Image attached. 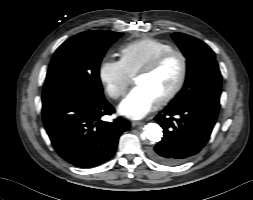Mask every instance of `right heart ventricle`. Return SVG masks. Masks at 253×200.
I'll use <instances>...</instances> for the list:
<instances>
[{
    "label": "right heart ventricle",
    "instance_id": "e07e8e85",
    "mask_svg": "<svg viewBox=\"0 0 253 200\" xmlns=\"http://www.w3.org/2000/svg\"><path fill=\"white\" fill-rule=\"evenodd\" d=\"M174 50L170 44L153 38H142L123 46L119 51L120 63L128 75L136 74L154 58Z\"/></svg>",
    "mask_w": 253,
    "mask_h": 200
}]
</instances>
